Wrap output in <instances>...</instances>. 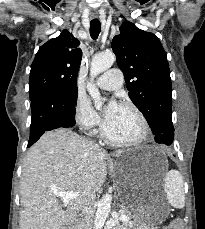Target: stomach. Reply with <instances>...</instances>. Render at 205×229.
<instances>
[{"label": "stomach", "mask_w": 205, "mask_h": 229, "mask_svg": "<svg viewBox=\"0 0 205 229\" xmlns=\"http://www.w3.org/2000/svg\"><path fill=\"white\" fill-rule=\"evenodd\" d=\"M159 158L163 162H159ZM111 175L114 178L123 202L130 214L139 223V229H154L160 224L165 211L162 200H153L145 192V181L150 170L155 169L161 176L167 169V161L161 154H157L151 147H141L124 152L110 165ZM143 221V223H140Z\"/></svg>", "instance_id": "obj_1"}]
</instances>
